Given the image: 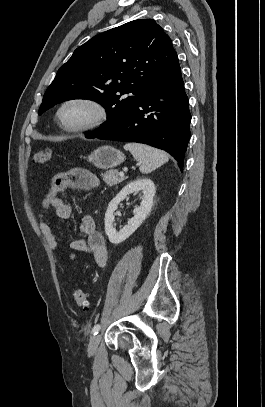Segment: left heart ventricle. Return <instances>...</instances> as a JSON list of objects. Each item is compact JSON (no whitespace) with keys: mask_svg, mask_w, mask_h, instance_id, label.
<instances>
[{"mask_svg":"<svg viewBox=\"0 0 265 407\" xmlns=\"http://www.w3.org/2000/svg\"><path fill=\"white\" fill-rule=\"evenodd\" d=\"M89 116L90 111L81 105H71L62 113L63 120L71 124L81 123L88 119Z\"/></svg>","mask_w":265,"mask_h":407,"instance_id":"left-heart-ventricle-1","label":"left heart ventricle"}]
</instances>
